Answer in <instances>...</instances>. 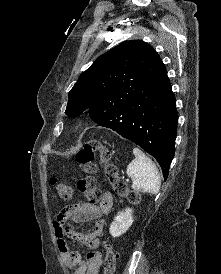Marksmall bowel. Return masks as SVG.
I'll return each mask as SVG.
<instances>
[{
    "label": "small bowel",
    "instance_id": "small-bowel-1",
    "mask_svg": "<svg viewBox=\"0 0 221 274\" xmlns=\"http://www.w3.org/2000/svg\"><path fill=\"white\" fill-rule=\"evenodd\" d=\"M113 206V196L104 193L99 204L78 201L59 212L53 222L57 247L65 262L75 269L74 274H99L102 265L101 252L98 250L99 237L105 228L103 214H108ZM95 220L93 231L90 233L76 232L71 228L75 222ZM66 237H71L90 249L85 259L78 251L71 250Z\"/></svg>",
    "mask_w": 221,
    "mask_h": 274
}]
</instances>
